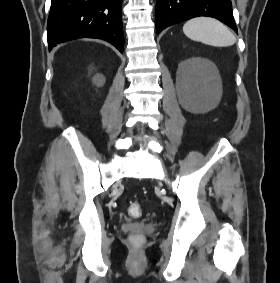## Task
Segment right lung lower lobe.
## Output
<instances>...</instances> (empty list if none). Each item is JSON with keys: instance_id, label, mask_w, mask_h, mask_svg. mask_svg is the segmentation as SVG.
I'll list each match as a JSON object with an SVG mask.
<instances>
[{"instance_id": "98d812e1", "label": "right lung lower lobe", "mask_w": 280, "mask_h": 283, "mask_svg": "<svg viewBox=\"0 0 280 283\" xmlns=\"http://www.w3.org/2000/svg\"><path fill=\"white\" fill-rule=\"evenodd\" d=\"M121 4L122 0H51L47 22L49 50L74 39L98 38L123 53Z\"/></svg>"}]
</instances>
